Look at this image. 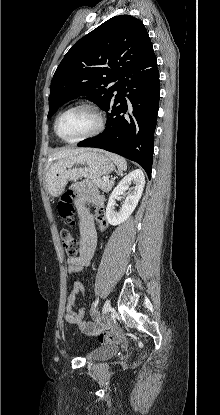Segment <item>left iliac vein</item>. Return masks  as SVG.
<instances>
[{
    "label": "left iliac vein",
    "mask_w": 220,
    "mask_h": 415,
    "mask_svg": "<svg viewBox=\"0 0 220 415\" xmlns=\"http://www.w3.org/2000/svg\"><path fill=\"white\" fill-rule=\"evenodd\" d=\"M110 309H111V302L109 299H107L103 306V311L105 312L104 315L107 314Z\"/></svg>",
    "instance_id": "left-iliac-vein-1"
}]
</instances>
